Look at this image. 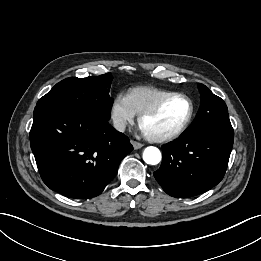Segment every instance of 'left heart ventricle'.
<instances>
[{"instance_id": "left-heart-ventricle-1", "label": "left heart ventricle", "mask_w": 261, "mask_h": 261, "mask_svg": "<svg viewBox=\"0 0 261 261\" xmlns=\"http://www.w3.org/2000/svg\"><path fill=\"white\" fill-rule=\"evenodd\" d=\"M188 112L189 105L186 100L172 98L163 105L159 112L143 121V129L154 135L169 133L182 124Z\"/></svg>"}]
</instances>
